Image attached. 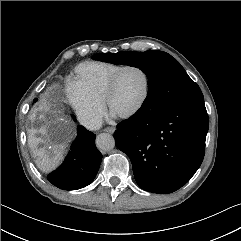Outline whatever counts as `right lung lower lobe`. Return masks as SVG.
Instances as JSON below:
<instances>
[{"label": "right lung lower lobe", "instance_id": "right-lung-lower-lobe-1", "mask_svg": "<svg viewBox=\"0 0 241 241\" xmlns=\"http://www.w3.org/2000/svg\"><path fill=\"white\" fill-rule=\"evenodd\" d=\"M77 138L62 165L48 175L50 183L64 190L89 185L97 175L102 154L95 146L96 135L78 125Z\"/></svg>", "mask_w": 241, "mask_h": 241}]
</instances>
